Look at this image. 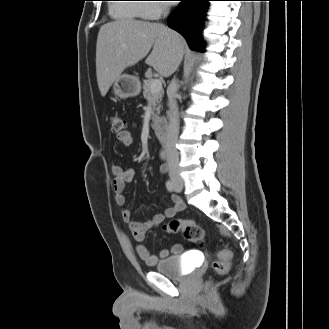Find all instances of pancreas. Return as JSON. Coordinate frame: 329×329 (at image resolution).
<instances>
[{"label": "pancreas", "mask_w": 329, "mask_h": 329, "mask_svg": "<svg viewBox=\"0 0 329 329\" xmlns=\"http://www.w3.org/2000/svg\"><path fill=\"white\" fill-rule=\"evenodd\" d=\"M152 80L151 74H148L147 79L143 80V96L152 105V121L156 123L159 118L164 91L161 89L157 93H152L150 90Z\"/></svg>", "instance_id": "obj_1"}]
</instances>
